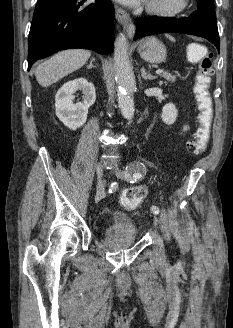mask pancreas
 Segmentation results:
<instances>
[{
    "label": "pancreas",
    "instance_id": "obj_1",
    "mask_svg": "<svg viewBox=\"0 0 233 328\" xmlns=\"http://www.w3.org/2000/svg\"><path fill=\"white\" fill-rule=\"evenodd\" d=\"M160 76L171 83H174L176 81V77L168 72L162 73V74H160Z\"/></svg>",
    "mask_w": 233,
    "mask_h": 328
}]
</instances>
